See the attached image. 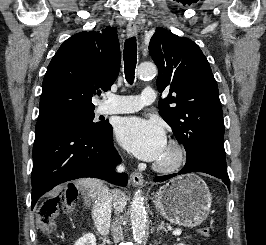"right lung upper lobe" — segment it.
<instances>
[{
	"label": "right lung upper lobe",
	"instance_id": "cb5924a9",
	"mask_svg": "<svg viewBox=\"0 0 266 245\" xmlns=\"http://www.w3.org/2000/svg\"><path fill=\"white\" fill-rule=\"evenodd\" d=\"M119 70L120 47L115 27L71 36L61 45L47 68L38 121L94 109L91 97L99 88L110 89Z\"/></svg>",
	"mask_w": 266,
	"mask_h": 245
}]
</instances>
